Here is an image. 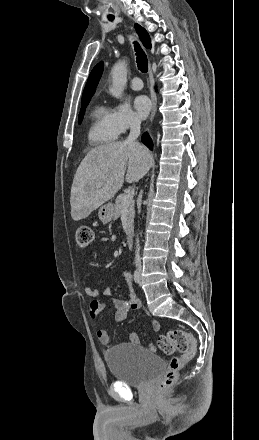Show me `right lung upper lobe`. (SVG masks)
Returning a JSON list of instances; mask_svg holds the SVG:
<instances>
[{
	"instance_id": "1",
	"label": "right lung upper lobe",
	"mask_w": 259,
	"mask_h": 440,
	"mask_svg": "<svg viewBox=\"0 0 259 440\" xmlns=\"http://www.w3.org/2000/svg\"><path fill=\"white\" fill-rule=\"evenodd\" d=\"M135 29L138 33V36L143 43L144 47L151 48V40L147 33V31L141 27L139 24H135ZM103 72V62L98 63L93 70L91 71V74L88 78L87 84L84 88L82 100L91 98L96 90V86L101 78Z\"/></svg>"
}]
</instances>
